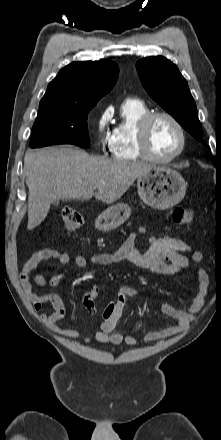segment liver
Listing matches in <instances>:
<instances>
[{"label":"liver","mask_w":221,"mask_h":440,"mask_svg":"<svg viewBox=\"0 0 221 440\" xmlns=\"http://www.w3.org/2000/svg\"><path fill=\"white\" fill-rule=\"evenodd\" d=\"M152 167L144 162L90 156L71 146L27 151L24 157L29 189L27 228L37 227L55 200H90L95 196L111 204Z\"/></svg>","instance_id":"6515ba94"}]
</instances>
